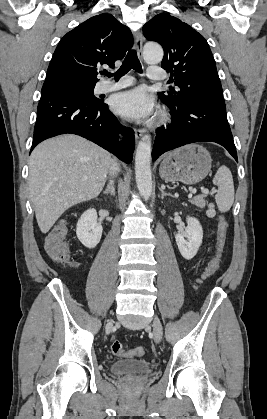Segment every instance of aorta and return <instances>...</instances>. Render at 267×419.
<instances>
[{"mask_svg":"<svg viewBox=\"0 0 267 419\" xmlns=\"http://www.w3.org/2000/svg\"><path fill=\"white\" fill-rule=\"evenodd\" d=\"M143 56L147 63H160L163 59V49L157 44L148 43L144 47ZM151 151V136L146 134L139 141L135 156L136 183L145 200H148L152 193Z\"/></svg>","mask_w":267,"mask_h":419,"instance_id":"aorta-1","label":"aorta"}]
</instances>
